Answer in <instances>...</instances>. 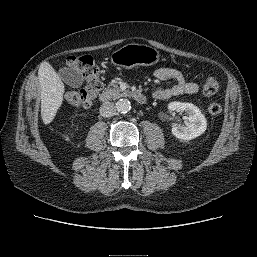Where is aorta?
Wrapping results in <instances>:
<instances>
[{"label":"aorta","mask_w":257,"mask_h":257,"mask_svg":"<svg viewBox=\"0 0 257 257\" xmlns=\"http://www.w3.org/2000/svg\"><path fill=\"white\" fill-rule=\"evenodd\" d=\"M131 109V103L128 99H120L116 103V110L120 113H127Z\"/></svg>","instance_id":"762f6f07"}]
</instances>
